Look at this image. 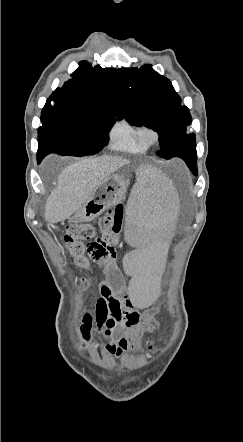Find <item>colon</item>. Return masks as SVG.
Wrapping results in <instances>:
<instances>
[{"instance_id":"obj_1","label":"colon","mask_w":243,"mask_h":442,"mask_svg":"<svg viewBox=\"0 0 243 442\" xmlns=\"http://www.w3.org/2000/svg\"><path fill=\"white\" fill-rule=\"evenodd\" d=\"M123 226V205L118 204L98 222L101 236L89 223H72L67 226L64 244L74 262L83 268L88 266V258L109 262L115 255L114 247L118 243ZM83 285H87L83 279ZM152 348V346L150 347Z\"/></svg>"}]
</instances>
